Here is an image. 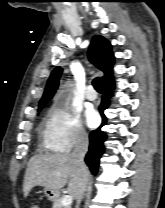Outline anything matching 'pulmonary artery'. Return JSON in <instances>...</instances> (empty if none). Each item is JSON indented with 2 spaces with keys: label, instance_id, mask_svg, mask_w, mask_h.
<instances>
[{
  "label": "pulmonary artery",
  "instance_id": "e3ab8cb5",
  "mask_svg": "<svg viewBox=\"0 0 165 208\" xmlns=\"http://www.w3.org/2000/svg\"><path fill=\"white\" fill-rule=\"evenodd\" d=\"M85 97L90 101H94L97 96H96V93L89 87L86 90Z\"/></svg>",
  "mask_w": 165,
  "mask_h": 208
}]
</instances>
